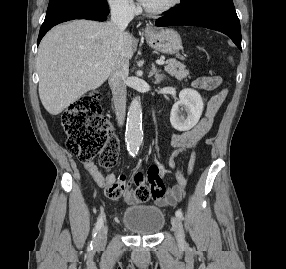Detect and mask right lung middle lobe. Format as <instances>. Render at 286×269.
<instances>
[{
  "label": "right lung middle lobe",
  "mask_w": 286,
  "mask_h": 269,
  "mask_svg": "<svg viewBox=\"0 0 286 269\" xmlns=\"http://www.w3.org/2000/svg\"><path fill=\"white\" fill-rule=\"evenodd\" d=\"M75 9L109 13L106 0H50L45 18Z\"/></svg>",
  "instance_id": "dd1d6c3e"
}]
</instances>
